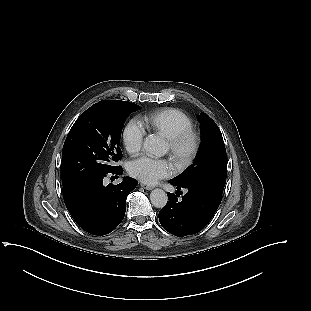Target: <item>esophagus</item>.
Returning <instances> with one entry per match:
<instances>
[{
    "label": "esophagus",
    "mask_w": 311,
    "mask_h": 311,
    "mask_svg": "<svg viewBox=\"0 0 311 311\" xmlns=\"http://www.w3.org/2000/svg\"><path fill=\"white\" fill-rule=\"evenodd\" d=\"M140 186L146 190H152L153 189V186L151 185H147L145 183H141Z\"/></svg>",
    "instance_id": "34e87169"
}]
</instances>
